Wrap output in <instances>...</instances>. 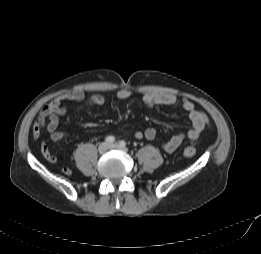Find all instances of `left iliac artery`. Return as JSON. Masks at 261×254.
Wrapping results in <instances>:
<instances>
[{
	"mask_svg": "<svg viewBox=\"0 0 261 254\" xmlns=\"http://www.w3.org/2000/svg\"><path fill=\"white\" fill-rule=\"evenodd\" d=\"M119 145H120L121 147H125V146H126V143H125L124 141H120V142H119Z\"/></svg>",
	"mask_w": 261,
	"mask_h": 254,
	"instance_id": "44dca946",
	"label": "left iliac artery"
}]
</instances>
